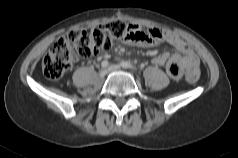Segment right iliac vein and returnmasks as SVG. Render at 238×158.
I'll return each instance as SVG.
<instances>
[{
  "label": "right iliac vein",
  "mask_w": 238,
  "mask_h": 158,
  "mask_svg": "<svg viewBox=\"0 0 238 158\" xmlns=\"http://www.w3.org/2000/svg\"><path fill=\"white\" fill-rule=\"evenodd\" d=\"M108 71L106 69H102L100 72H99V76L101 78H104L106 75H107Z\"/></svg>",
  "instance_id": "obj_1"
}]
</instances>
